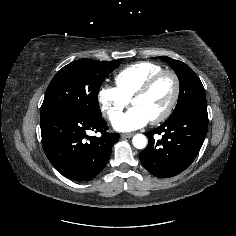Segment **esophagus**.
I'll use <instances>...</instances> for the list:
<instances>
[{
	"label": "esophagus",
	"mask_w": 236,
	"mask_h": 236,
	"mask_svg": "<svg viewBox=\"0 0 236 236\" xmlns=\"http://www.w3.org/2000/svg\"><path fill=\"white\" fill-rule=\"evenodd\" d=\"M134 135V133H123L121 134V137L123 138H131Z\"/></svg>",
	"instance_id": "34e87169"
}]
</instances>
